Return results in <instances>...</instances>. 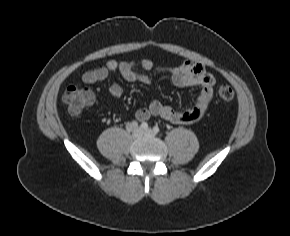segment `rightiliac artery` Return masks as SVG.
Returning <instances> with one entry per match:
<instances>
[{
	"label": "right iliac artery",
	"instance_id": "1",
	"mask_svg": "<svg viewBox=\"0 0 290 236\" xmlns=\"http://www.w3.org/2000/svg\"><path fill=\"white\" fill-rule=\"evenodd\" d=\"M140 128L144 129V130L148 129V123L142 122L141 125H140Z\"/></svg>",
	"mask_w": 290,
	"mask_h": 236
}]
</instances>
